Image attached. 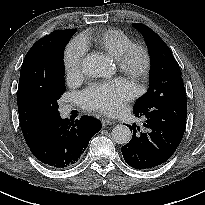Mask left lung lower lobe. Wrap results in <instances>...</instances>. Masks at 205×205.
Listing matches in <instances>:
<instances>
[{"mask_svg": "<svg viewBox=\"0 0 205 205\" xmlns=\"http://www.w3.org/2000/svg\"><path fill=\"white\" fill-rule=\"evenodd\" d=\"M142 126H129L132 139L121 148L125 161L135 169L153 168L166 162L180 144L187 116V98L171 97L137 112Z\"/></svg>", "mask_w": 205, "mask_h": 205, "instance_id": "1", "label": "left lung lower lobe"}]
</instances>
